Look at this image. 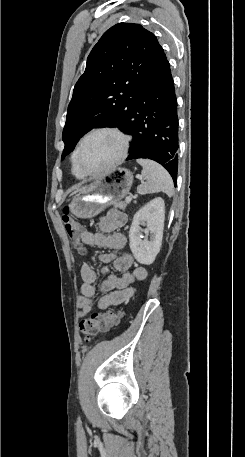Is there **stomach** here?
I'll list each match as a JSON object with an SVG mask.
<instances>
[{
    "instance_id": "obj_1",
    "label": "stomach",
    "mask_w": 245,
    "mask_h": 457,
    "mask_svg": "<svg viewBox=\"0 0 245 457\" xmlns=\"http://www.w3.org/2000/svg\"><path fill=\"white\" fill-rule=\"evenodd\" d=\"M133 182V172L128 168H113L98 180H94L79 194L73 196L69 210L79 218H93L116 200L128 194Z\"/></svg>"
}]
</instances>
